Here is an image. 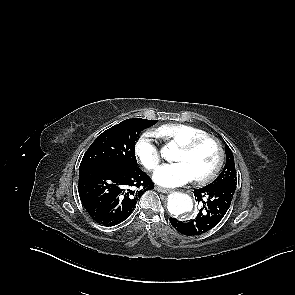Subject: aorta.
<instances>
[{"label":"aorta","mask_w":295,"mask_h":295,"mask_svg":"<svg viewBox=\"0 0 295 295\" xmlns=\"http://www.w3.org/2000/svg\"><path fill=\"white\" fill-rule=\"evenodd\" d=\"M175 148L176 147L173 143L169 144V146L163 150L162 156L166 159H170V153ZM167 209L169 213L175 217L189 214L193 210V200L188 194L185 193H171L167 199Z\"/></svg>","instance_id":"aorta-1"}]
</instances>
